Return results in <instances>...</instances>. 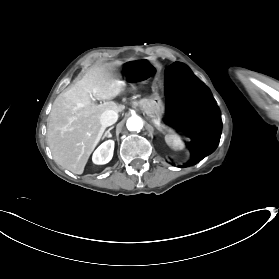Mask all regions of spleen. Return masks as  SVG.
Instances as JSON below:
<instances>
[{"instance_id": "spleen-1", "label": "spleen", "mask_w": 279, "mask_h": 279, "mask_svg": "<svg viewBox=\"0 0 279 279\" xmlns=\"http://www.w3.org/2000/svg\"><path fill=\"white\" fill-rule=\"evenodd\" d=\"M165 139H166L167 143L174 149H178V148L182 147L181 141L172 132H167Z\"/></svg>"}]
</instances>
